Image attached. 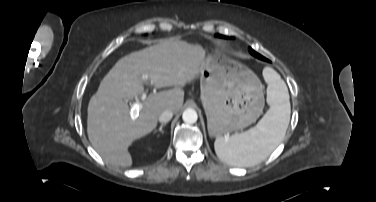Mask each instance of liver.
I'll list each match as a JSON object with an SVG mask.
<instances>
[{
	"label": "liver",
	"mask_w": 376,
	"mask_h": 202,
	"mask_svg": "<svg viewBox=\"0 0 376 202\" xmlns=\"http://www.w3.org/2000/svg\"><path fill=\"white\" fill-rule=\"evenodd\" d=\"M205 55L200 45L165 39L119 59L88 104L87 133L97 153L112 165L130 167L129 146L150 133L165 110L181 109L182 87L194 81ZM143 75L156 88H175L150 94L133 112L127 100L144 93Z\"/></svg>",
	"instance_id": "liver-1"
}]
</instances>
